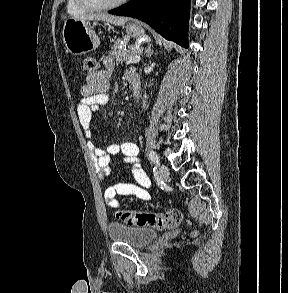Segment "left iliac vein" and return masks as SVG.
Here are the masks:
<instances>
[{
    "label": "left iliac vein",
    "mask_w": 288,
    "mask_h": 293,
    "mask_svg": "<svg viewBox=\"0 0 288 293\" xmlns=\"http://www.w3.org/2000/svg\"><path fill=\"white\" fill-rule=\"evenodd\" d=\"M159 176L162 180H167L169 177V169L166 165L161 164L158 169Z\"/></svg>",
    "instance_id": "1"
}]
</instances>
